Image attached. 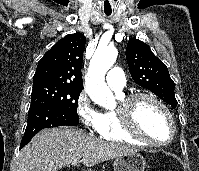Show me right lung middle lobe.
Listing matches in <instances>:
<instances>
[{
  "label": "right lung middle lobe",
  "mask_w": 199,
  "mask_h": 171,
  "mask_svg": "<svg viewBox=\"0 0 199 171\" xmlns=\"http://www.w3.org/2000/svg\"><path fill=\"white\" fill-rule=\"evenodd\" d=\"M81 91L82 87L66 83L33 81L30 107L50 104L79 118L77 114V102Z\"/></svg>",
  "instance_id": "1"
}]
</instances>
